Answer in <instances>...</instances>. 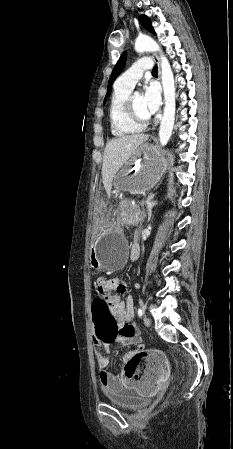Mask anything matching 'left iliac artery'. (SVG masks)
Returning <instances> with one entry per match:
<instances>
[{
	"instance_id": "left-iliac-artery-1",
	"label": "left iliac artery",
	"mask_w": 233,
	"mask_h": 449,
	"mask_svg": "<svg viewBox=\"0 0 233 449\" xmlns=\"http://www.w3.org/2000/svg\"><path fill=\"white\" fill-rule=\"evenodd\" d=\"M144 313V307H143V302H141L140 307L138 309V316L141 318L143 316Z\"/></svg>"
}]
</instances>
